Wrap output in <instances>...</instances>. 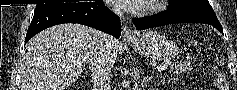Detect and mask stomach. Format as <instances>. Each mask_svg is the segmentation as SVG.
Listing matches in <instances>:
<instances>
[{
	"label": "stomach",
	"mask_w": 237,
	"mask_h": 90,
	"mask_svg": "<svg viewBox=\"0 0 237 90\" xmlns=\"http://www.w3.org/2000/svg\"><path fill=\"white\" fill-rule=\"evenodd\" d=\"M129 45L141 56L158 61L173 59L179 52L172 41L155 31L139 34Z\"/></svg>",
	"instance_id": "obj_1"
}]
</instances>
